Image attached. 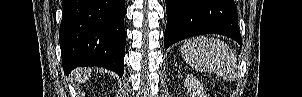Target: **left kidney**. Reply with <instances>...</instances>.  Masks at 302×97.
Here are the masks:
<instances>
[{
  "label": "left kidney",
  "mask_w": 302,
  "mask_h": 97,
  "mask_svg": "<svg viewBox=\"0 0 302 97\" xmlns=\"http://www.w3.org/2000/svg\"><path fill=\"white\" fill-rule=\"evenodd\" d=\"M190 97H207L203 85L191 75H187L184 83Z\"/></svg>",
  "instance_id": "1"
}]
</instances>
